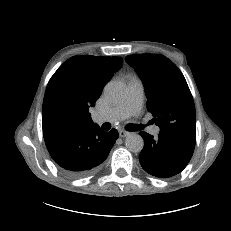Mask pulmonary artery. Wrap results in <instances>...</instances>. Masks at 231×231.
Here are the masks:
<instances>
[{
	"label": "pulmonary artery",
	"mask_w": 231,
	"mask_h": 231,
	"mask_svg": "<svg viewBox=\"0 0 231 231\" xmlns=\"http://www.w3.org/2000/svg\"><path fill=\"white\" fill-rule=\"evenodd\" d=\"M144 103V85L138 78H132L128 82V94L124 103L105 111L95 112L92 116L95 122H117L129 116L138 115ZM153 135H158L160 128L156 125L148 128Z\"/></svg>",
	"instance_id": "e3ab8cb5"
}]
</instances>
